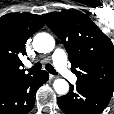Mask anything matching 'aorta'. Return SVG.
<instances>
[{
    "label": "aorta",
    "mask_w": 114,
    "mask_h": 114,
    "mask_svg": "<svg viewBox=\"0 0 114 114\" xmlns=\"http://www.w3.org/2000/svg\"><path fill=\"white\" fill-rule=\"evenodd\" d=\"M55 40L48 33H38L33 39V48L39 53L51 52L54 49ZM54 90L60 95L69 91V84L64 79H56L53 83Z\"/></svg>",
    "instance_id": "1"
}]
</instances>
